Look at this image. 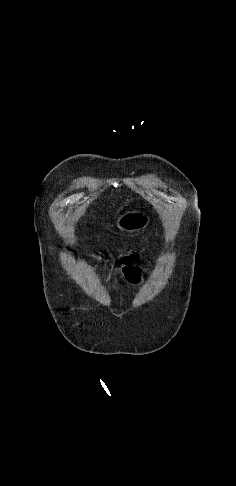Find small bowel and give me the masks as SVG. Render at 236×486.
I'll list each match as a JSON object with an SVG mask.
<instances>
[{"label": "small bowel", "instance_id": "small-bowel-1", "mask_svg": "<svg viewBox=\"0 0 236 486\" xmlns=\"http://www.w3.org/2000/svg\"><path fill=\"white\" fill-rule=\"evenodd\" d=\"M137 257L127 256L123 261V268L121 271V279L126 280L131 284H137L140 282L144 270L136 266Z\"/></svg>", "mask_w": 236, "mask_h": 486}]
</instances>
